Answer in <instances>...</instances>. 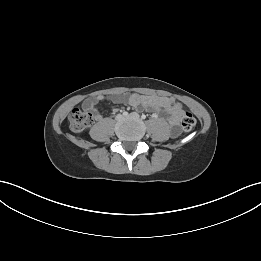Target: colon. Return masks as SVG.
<instances>
[{
	"instance_id": "5ec220e1",
	"label": "colon",
	"mask_w": 261,
	"mask_h": 261,
	"mask_svg": "<svg viewBox=\"0 0 261 261\" xmlns=\"http://www.w3.org/2000/svg\"><path fill=\"white\" fill-rule=\"evenodd\" d=\"M94 120L93 114L75 108L69 115L70 129L75 133L83 132ZM196 125V119L193 114L185 110L182 116V128L186 132H190Z\"/></svg>"
}]
</instances>
